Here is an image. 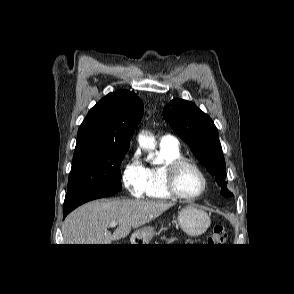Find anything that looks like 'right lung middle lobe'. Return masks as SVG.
<instances>
[{
  "label": "right lung middle lobe",
  "mask_w": 294,
  "mask_h": 294,
  "mask_svg": "<svg viewBox=\"0 0 294 294\" xmlns=\"http://www.w3.org/2000/svg\"><path fill=\"white\" fill-rule=\"evenodd\" d=\"M128 148H75L64 205L88 195L122 190L120 165Z\"/></svg>",
  "instance_id": "dd1d6c3e"
}]
</instances>
